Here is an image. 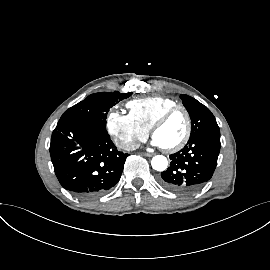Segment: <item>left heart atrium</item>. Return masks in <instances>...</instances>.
Returning a JSON list of instances; mask_svg holds the SVG:
<instances>
[{
  "mask_svg": "<svg viewBox=\"0 0 270 270\" xmlns=\"http://www.w3.org/2000/svg\"><path fill=\"white\" fill-rule=\"evenodd\" d=\"M152 145L153 146H156V147H161L162 148L161 144L154 137H153V140H152Z\"/></svg>",
  "mask_w": 270,
  "mask_h": 270,
  "instance_id": "1",
  "label": "left heart atrium"
}]
</instances>
